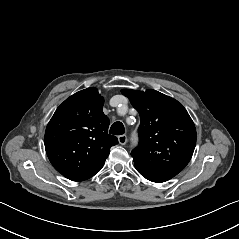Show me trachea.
I'll list each match as a JSON object with an SVG mask.
<instances>
[{"instance_id": "3493384b", "label": "trachea", "mask_w": 239, "mask_h": 239, "mask_svg": "<svg viewBox=\"0 0 239 239\" xmlns=\"http://www.w3.org/2000/svg\"><path fill=\"white\" fill-rule=\"evenodd\" d=\"M124 132V125L121 122H115L109 130V133L113 135H122Z\"/></svg>"}]
</instances>
